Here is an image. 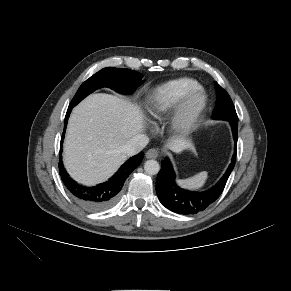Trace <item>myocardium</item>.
Instances as JSON below:
<instances>
[{"instance_id": "f54148a6", "label": "myocardium", "mask_w": 291, "mask_h": 291, "mask_svg": "<svg viewBox=\"0 0 291 291\" xmlns=\"http://www.w3.org/2000/svg\"><path fill=\"white\" fill-rule=\"evenodd\" d=\"M208 106V95L203 87L191 90L179 102L172 114L171 124L175 131L186 133L192 130Z\"/></svg>"}]
</instances>
